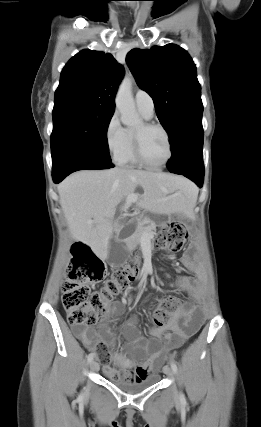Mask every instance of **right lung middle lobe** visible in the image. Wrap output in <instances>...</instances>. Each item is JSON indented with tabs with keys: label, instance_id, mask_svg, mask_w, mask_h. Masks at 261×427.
<instances>
[{
	"label": "right lung middle lobe",
	"instance_id": "1",
	"mask_svg": "<svg viewBox=\"0 0 261 427\" xmlns=\"http://www.w3.org/2000/svg\"><path fill=\"white\" fill-rule=\"evenodd\" d=\"M114 111L86 106L53 110L52 161L82 156L111 161L107 129Z\"/></svg>",
	"mask_w": 261,
	"mask_h": 427
}]
</instances>
